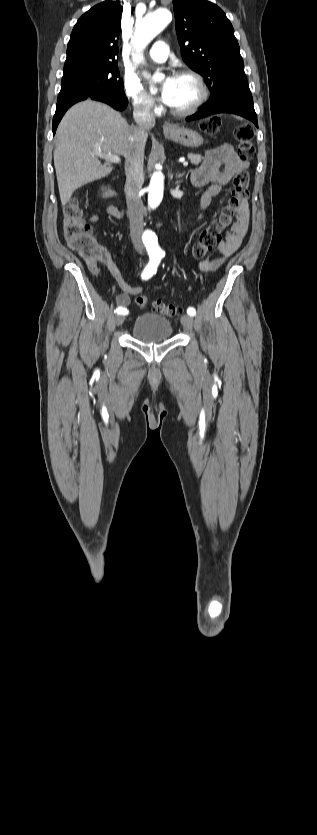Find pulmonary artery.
<instances>
[{
    "label": "pulmonary artery",
    "instance_id": "1",
    "mask_svg": "<svg viewBox=\"0 0 317 835\" xmlns=\"http://www.w3.org/2000/svg\"><path fill=\"white\" fill-rule=\"evenodd\" d=\"M169 53V47L164 41H157L154 43L149 51V57L156 62H164Z\"/></svg>",
    "mask_w": 317,
    "mask_h": 835
}]
</instances>
